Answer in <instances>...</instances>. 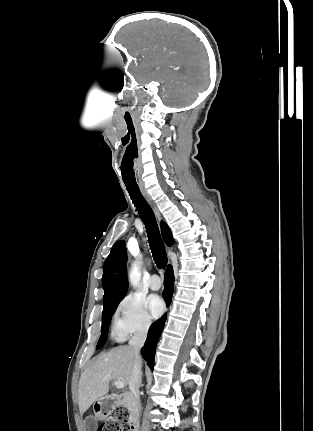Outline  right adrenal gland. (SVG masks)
<instances>
[{
  "label": "right adrenal gland",
  "mask_w": 313,
  "mask_h": 431,
  "mask_svg": "<svg viewBox=\"0 0 313 431\" xmlns=\"http://www.w3.org/2000/svg\"><path fill=\"white\" fill-rule=\"evenodd\" d=\"M140 382L142 383V376H141Z\"/></svg>",
  "instance_id": "obj_1"
}]
</instances>
